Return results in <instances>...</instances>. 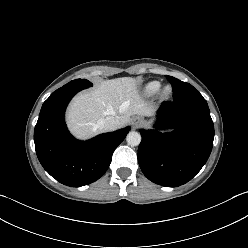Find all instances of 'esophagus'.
Returning <instances> with one entry per match:
<instances>
[{
    "label": "esophagus",
    "instance_id": "34e87169",
    "mask_svg": "<svg viewBox=\"0 0 248 248\" xmlns=\"http://www.w3.org/2000/svg\"><path fill=\"white\" fill-rule=\"evenodd\" d=\"M143 122L142 118L141 117H134L133 120H132V125L134 127H137L138 125H140L141 123Z\"/></svg>",
    "mask_w": 248,
    "mask_h": 248
}]
</instances>
